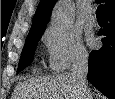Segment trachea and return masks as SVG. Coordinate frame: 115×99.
<instances>
[{
    "instance_id": "1",
    "label": "trachea",
    "mask_w": 115,
    "mask_h": 99,
    "mask_svg": "<svg viewBox=\"0 0 115 99\" xmlns=\"http://www.w3.org/2000/svg\"><path fill=\"white\" fill-rule=\"evenodd\" d=\"M96 15L97 16H103V5H99L97 10H96Z\"/></svg>"
}]
</instances>
